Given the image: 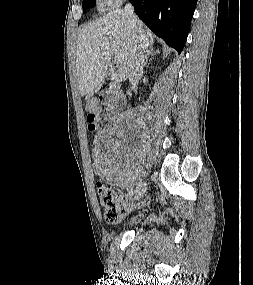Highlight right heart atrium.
I'll return each instance as SVG.
<instances>
[{"label":"right heart atrium","mask_w":253,"mask_h":285,"mask_svg":"<svg viewBox=\"0 0 253 285\" xmlns=\"http://www.w3.org/2000/svg\"><path fill=\"white\" fill-rule=\"evenodd\" d=\"M102 5L107 8L117 7L123 0H100Z\"/></svg>","instance_id":"right-heart-atrium-1"}]
</instances>
